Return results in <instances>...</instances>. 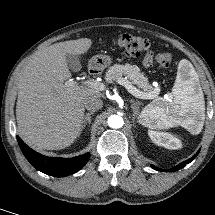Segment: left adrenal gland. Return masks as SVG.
Returning <instances> with one entry per match:
<instances>
[{"label": "left adrenal gland", "instance_id": "1", "mask_svg": "<svg viewBox=\"0 0 215 215\" xmlns=\"http://www.w3.org/2000/svg\"><path fill=\"white\" fill-rule=\"evenodd\" d=\"M130 103H131V108L133 109V116L135 118V116L138 115V109H139L138 104H139V102L130 100Z\"/></svg>", "mask_w": 215, "mask_h": 215}]
</instances>
